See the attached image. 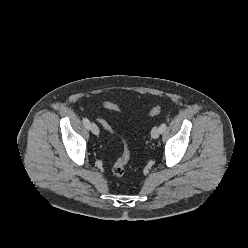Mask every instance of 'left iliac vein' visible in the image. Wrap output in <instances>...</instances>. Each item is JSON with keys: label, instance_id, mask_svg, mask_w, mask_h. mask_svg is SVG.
<instances>
[{"label": "left iliac vein", "instance_id": "obj_1", "mask_svg": "<svg viewBox=\"0 0 248 248\" xmlns=\"http://www.w3.org/2000/svg\"><path fill=\"white\" fill-rule=\"evenodd\" d=\"M160 135V129L159 127H153L152 130H151V136L153 139H157Z\"/></svg>", "mask_w": 248, "mask_h": 248}]
</instances>
